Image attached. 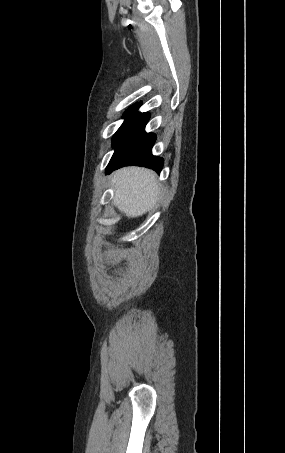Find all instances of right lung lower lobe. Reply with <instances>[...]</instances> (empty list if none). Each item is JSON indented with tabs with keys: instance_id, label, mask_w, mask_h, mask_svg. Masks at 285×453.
I'll return each mask as SVG.
<instances>
[{
	"instance_id": "right-lung-lower-lobe-1",
	"label": "right lung lower lobe",
	"mask_w": 285,
	"mask_h": 453,
	"mask_svg": "<svg viewBox=\"0 0 285 453\" xmlns=\"http://www.w3.org/2000/svg\"><path fill=\"white\" fill-rule=\"evenodd\" d=\"M140 105L136 103L125 112V121L113 136L115 152L106 168V174L129 165L151 168L157 173L163 168V159L152 155L156 135L145 132L150 116L149 113L137 111Z\"/></svg>"
}]
</instances>
